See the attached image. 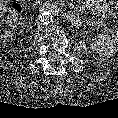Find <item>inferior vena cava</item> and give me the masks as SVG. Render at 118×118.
<instances>
[{
	"label": "inferior vena cava",
	"instance_id": "1",
	"mask_svg": "<svg viewBox=\"0 0 118 118\" xmlns=\"http://www.w3.org/2000/svg\"><path fill=\"white\" fill-rule=\"evenodd\" d=\"M36 24L37 25H40L41 24V22H40V20L38 19V20H36Z\"/></svg>",
	"mask_w": 118,
	"mask_h": 118
}]
</instances>
